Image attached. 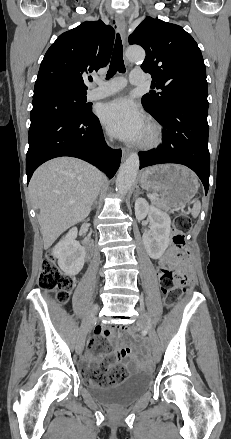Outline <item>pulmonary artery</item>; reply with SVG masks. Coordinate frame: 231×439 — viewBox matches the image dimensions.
<instances>
[{
	"label": "pulmonary artery",
	"mask_w": 231,
	"mask_h": 439,
	"mask_svg": "<svg viewBox=\"0 0 231 439\" xmlns=\"http://www.w3.org/2000/svg\"><path fill=\"white\" fill-rule=\"evenodd\" d=\"M128 81L133 85H142L146 82V75L142 70L135 69L131 72ZM97 84V87L88 92V100L101 99L120 91L126 86L127 79L125 77H117L107 83H101L98 81Z\"/></svg>",
	"instance_id": "obj_1"
}]
</instances>
